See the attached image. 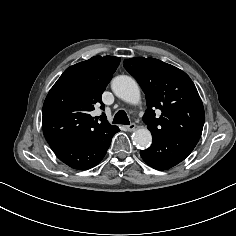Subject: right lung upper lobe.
<instances>
[{
	"label": "right lung upper lobe",
	"mask_w": 236,
	"mask_h": 236,
	"mask_svg": "<svg viewBox=\"0 0 236 236\" xmlns=\"http://www.w3.org/2000/svg\"><path fill=\"white\" fill-rule=\"evenodd\" d=\"M119 63L118 57L94 56L63 72L43 105L42 128L48 143L91 140L115 127L104 113L97 121L90 112L98 103L104 109L101 95Z\"/></svg>",
	"instance_id": "right-lung-upper-lobe-1"
}]
</instances>
